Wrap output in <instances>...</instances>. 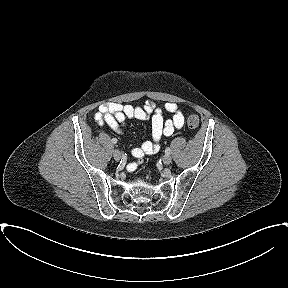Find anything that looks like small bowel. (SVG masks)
Instances as JSON below:
<instances>
[{"instance_id":"c3829d8e","label":"small bowel","mask_w":288,"mask_h":288,"mask_svg":"<svg viewBox=\"0 0 288 288\" xmlns=\"http://www.w3.org/2000/svg\"><path fill=\"white\" fill-rule=\"evenodd\" d=\"M163 109L171 113L172 117L164 119ZM163 109L152 101H146L142 106L109 102L99 106L94 120L100 126L107 125L115 131H120L127 119L150 118L152 139L132 150V155L136 159H142L158 152L161 148L162 137L172 135L175 130L181 129L184 125V116L175 103L166 102Z\"/></svg>"}]
</instances>
